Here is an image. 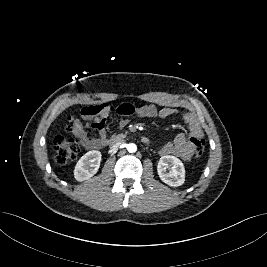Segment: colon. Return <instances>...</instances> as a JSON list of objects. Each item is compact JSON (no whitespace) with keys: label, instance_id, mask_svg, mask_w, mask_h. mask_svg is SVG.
Listing matches in <instances>:
<instances>
[{"label":"colon","instance_id":"colon-1","mask_svg":"<svg viewBox=\"0 0 267 267\" xmlns=\"http://www.w3.org/2000/svg\"><path fill=\"white\" fill-rule=\"evenodd\" d=\"M194 155L202 157L205 151V141L201 138H191ZM81 149V142L76 138H67L64 135H57L54 139V158L56 163L63 165L74 160Z\"/></svg>","mask_w":267,"mask_h":267}]
</instances>
